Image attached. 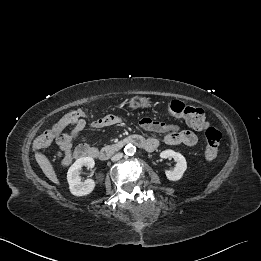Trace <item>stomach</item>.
<instances>
[{
	"label": "stomach",
	"mask_w": 261,
	"mask_h": 261,
	"mask_svg": "<svg viewBox=\"0 0 261 261\" xmlns=\"http://www.w3.org/2000/svg\"><path fill=\"white\" fill-rule=\"evenodd\" d=\"M128 104L131 109H137L150 107L152 105V102L149 98L134 96L129 100Z\"/></svg>",
	"instance_id": "stomach-1"
}]
</instances>
